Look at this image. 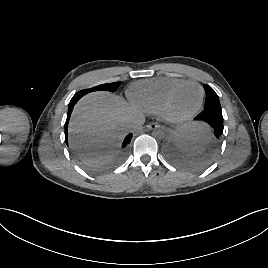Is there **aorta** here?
Returning <instances> with one entry per match:
<instances>
[{"mask_svg": "<svg viewBox=\"0 0 268 268\" xmlns=\"http://www.w3.org/2000/svg\"><path fill=\"white\" fill-rule=\"evenodd\" d=\"M165 135H166V132L162 128H157L152 132V136L155 139H163L165 137Z\"/></svg>", "mask_w": 268, "mask_h": 268, "instance_id": "762f6f07", "label": "aorta"}]
</instances>
